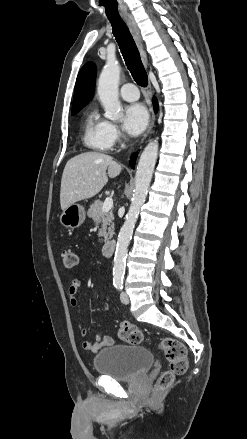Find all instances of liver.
I'll list each match as a JSON object with an SVG mask.
<instances>
[{
    "mask_svg": "<svg viewBox=\"0 0 247 439\" xmlns=\"http://www.w3.org/2000/svg\"><path fill=\"white\" fill-rule=\"evenodd\" d=\"M110 178L117 177L121 165L113 157L97 152L81 153L65 165L61 179L60 204L64 210L75 202L95 196Z\"/></svg>",
    "mask_w": 247,
    "mask_h": 439,
    "instance_id": "obj_1",
    "label": "liver"
}]
</instances>
